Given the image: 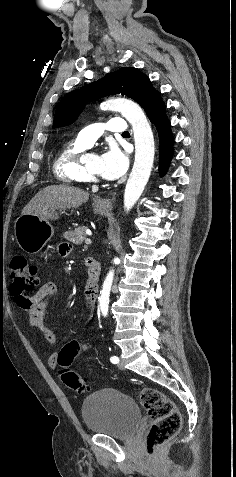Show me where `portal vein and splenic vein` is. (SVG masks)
<instances>
[{"label": "portal vein and splenic vein", "mask_w": 236, "mask_h": 477, "mask_svg": "<svg viewBox=\"0 0 236 477\" xmlns=\"http://www.w3.org/2000/svg\"><path fill=\"white\" fill-rule=\"evenodd\" d=\"M91 243H92V240H91L90 238H86V239H85V244L88 245V244H91Z\"/></svg>", "instance_id": "18ae733b"}]
</instances>
